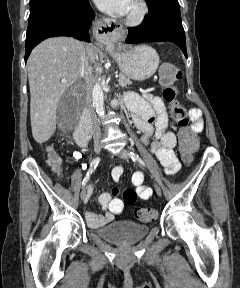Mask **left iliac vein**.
Wrapping results in <instances>:
<instances>
[{
    "label": "left iliac vein",
    "instance_id": "left-iliac-vein-1",
    "mask_svg": "<svg viewBox=\"0 0 240 288\" xmlns=\"http://www.w3.org/2000/svg\"><path fill=\"white\" fill-rule=\"evenodd\" d=\"M116 154L122 159H126V160L129 159V153L126 150H120ZM154 188H155L157 195L161 196L162 195L161 189L156 183H154Z\"/></svg>",
    "mask_w": 240,
    "mask_h": 288
}]
</instances>
